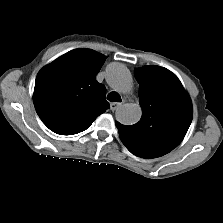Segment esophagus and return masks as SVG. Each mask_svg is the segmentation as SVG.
<instances>
[{"label":"esophagus","mask_w":223,"mask_h":223,"mask_svg":"<svg viewBox=\"0 0 223 223\" xmlns=\"http://www.w3.org/2000/svg\"><path fill=\"white\" fill-rule=\"evenodd\" d=\"M120 106H121V103L113 102V103L110 104V109H111L112 111H115V110H117Z\"/></svg>","instance_id":"obj_1"}]
</instances>
